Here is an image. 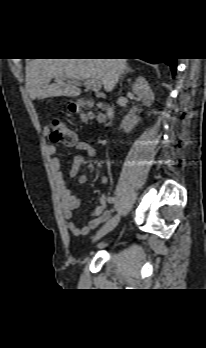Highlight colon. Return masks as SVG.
Segmentation results:
<instances>
[{
    "mask_svg": "<svg viewBox=\"0 0 206 348\" xmlns=\"http://www.w3.org/2000/svg\"><path fill=\"white\" fill-rule=\"evenodd\" d=\"M69 110L72 113H75L77 107L75 104H72L69 107ZM49 138L53 142L65 143L72 145L76 142V134L62 119L61 116H53L50 121V133Z\"/></svg>",
    "mask_w": 206,
    "mask_h": 348,
    "instance_id": "obj_1",
    "label": "colon"
}]
</instances>
